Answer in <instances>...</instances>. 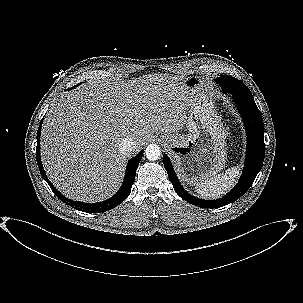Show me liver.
Masks as SVG:
<instances>
[{
  "mask_svg": "<svg viewBox=\"0 0 303 303\" xmlns=\"http://www.w3.org/2000/svg\"><path fill=\"white\" fill-rule=\"evenodd\" d=\"M183 76L148 74L114 81L100 73L60 95L50 106L41 132L45 171L66 197L98 202L121 184L129 155L154 134L175 133L186 122L198 95ZM131 137L136 148L119 151Z\"/></svg>",
  "mask_w": 303,
  "mask_h": 303,
  "instance_id": "1",
  "label": "liver"
}]
</instances>
